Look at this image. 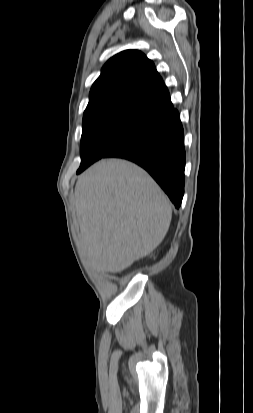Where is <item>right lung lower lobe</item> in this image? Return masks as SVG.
<instances>
[{"label": "right lung lower lobe", "instance_id": "98d812e1", "mask_svg": "<svg viewBox=\"0 0 253 413\" xmlns=\"http://www.w3.org/2000/svg\"><path fill=\"white\" fill-rule=\"evenodd\" d=\"M130 160L156 180L179 208L184 194L185 149L184 131L176 109L158 122L108 153L104 158Z\"/></svg>", "mask_w": 253, "mask_h": 413}]
</instances>
